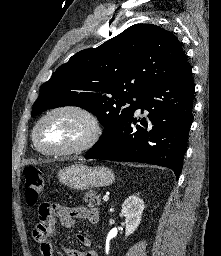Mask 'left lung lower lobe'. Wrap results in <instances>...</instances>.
I'll use <instances>...</instances> for the list:
<instances>
[{"mask_svg":"<svg viewBox=\"0 0 221 256\" xmlns=\"http://www.w3.org/2000/svg\"><path fill=\"white\" fill-rule=\"evenodd\" d=\"M194 85L188 63L155 85L138 108L149 112L136 129L133 116L108 131L85 154L87 159L141 162L170 168L178 179L192 122ZM134 115V114H133Z\"/></svg>","mask_w":221,"mask_h":256,"instance_id":"0a47b994","label":"left lung lower lobe"}]
</instances>
